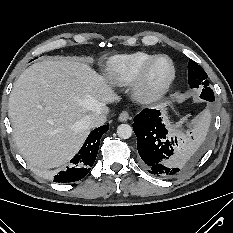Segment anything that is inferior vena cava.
<instances>
[{"instance_id":"1","label":"inferior vena cava","mask_w":233,"mask_h":233,"mask_svg":"<svg viewBox=\"0 0 233 233\" xmlns=\"http://www.w3.org/2000/svg\"><path fill=\"white\" fill-rule=\"evenodd\" d=\"M108 112L109 109L107 106L105 105L101 106L96 112L90 113L86 116L85 118L86 124L90 128L102 126L107 120Z\"/></svg>"}]
</instances>
